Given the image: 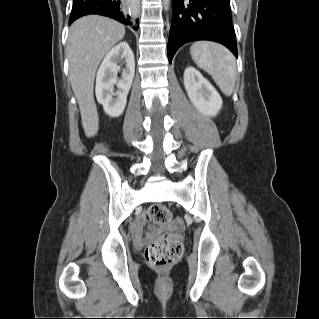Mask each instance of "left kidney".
<instances>
[{"label": "left kidney", "instance_id": "left-kidney-1", "mask_svg": "<svg viewBox=\"0 0 319 319\" xmlns=\"http://www.w3.org/2000/svg\"><path fill=\"white\" fill-rule=\"evenodd\" d=\"M184 86L194 107L206 116L214 117L222 108V99L216 89L194 67L184 72Z\"/></svg>", "mask_w": 319, "mask_h": 319}]
</instances>
